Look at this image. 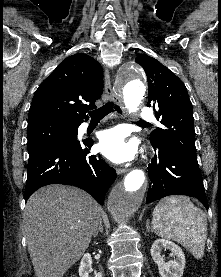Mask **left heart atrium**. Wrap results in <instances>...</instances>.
Instances as JSON below:
<instances>
[{
	"instance_id": "39dd6f15",
	"label": "left heart atrium",
	"mask_w": 221,
	"mask_h": 277,
	"mask_svg": "<svg viewBox=\"0 0 221 277\" xmlns=\"http://www.w3.org/2000/svg\"><path fill=\"white\" fill-rule=\"evenodd\" d=\"M99 148L105 157L115 163L129 161L136 153L135 142L128 140L125 131L119 127L101 132Z\"/></svg>"
}]
</instances>
